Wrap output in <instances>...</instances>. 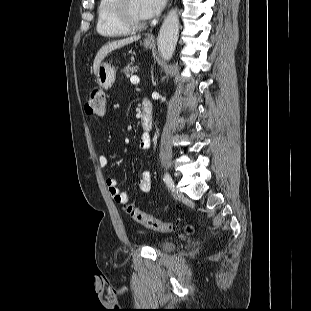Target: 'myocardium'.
Here are the masks:
<instances>
[{"label":"myocardium","mask_w":311,"mask_h":311,"mask_svg":"<svg viewBox=\"0 0 311 311\" xmlns=\"http://www.w3.org/2000/svg\"><path fill=\"white\" fill-rule=\"evenodd\" d=\"M113 9L118 21L129 31H138L147 26L146 21L138 22L132 19L128 10V0H114Z\"/></svg>","instance_id":"f54148a6"}]
</instances>
